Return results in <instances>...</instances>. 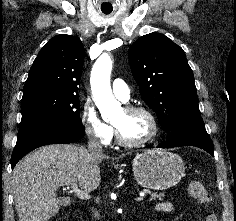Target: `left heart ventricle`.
Returning a JSON list of instances; mask_svg holds the SVG:
<instances>
[{"label": "left heart ventricle", "instance_id": "1", "mask_svg": "<svg viewBox=\"0 0 236 221\" xmlns=\"http://www.w3.org/2000/svg\"><path fill=\"white\" fill-rule=\"evenodd\" d=\"M122 135L128 141H140L145 139L152 130L149 118L141 112L128 113L124 109L114 120Z\"/></svg>", "mask_w": 236, "mask_h": 221}]
</instances>
